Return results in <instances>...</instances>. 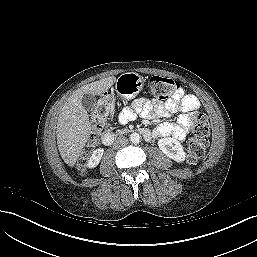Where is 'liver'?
<instances>
[{"label":"liver","instance_id":"6515ba94","mask_svg":"<svg viewBox=\"0 0 257 257\" xmlns=\"http://www.w3.org/2000/svg\"><path fill=\"white\" fill-rule=\"evenodd\" d=\"M115 82L116 77L110 76L83 86L72 93L61 109L56 137L60 155L68 166L75 165L91 131L88 113L81 103L83 95H102Z\"/></svg>","mask_w":257,"mask_h":257}]
</instances>
